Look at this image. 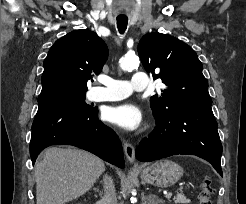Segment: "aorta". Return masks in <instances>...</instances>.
Here are the masks:
<instances>
[{"mask_svg":"<svg viewBox=\"0 0 246 204\" xmlns=\"http://www.w3.org/2000/svg\"><path fill=\"white\" fill-rule=\"evenodd\" d=\"M139 58L136 55H125L120 60V67L123 70H131L139 66Z\"/></svg>","mask_w":246,"mask_h":204,"instance_id":"obj_1","label":"aorta"}]
</instances>
